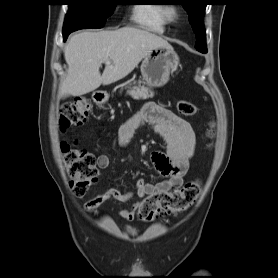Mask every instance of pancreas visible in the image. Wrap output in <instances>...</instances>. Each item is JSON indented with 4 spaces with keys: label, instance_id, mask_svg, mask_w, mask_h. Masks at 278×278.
Returning a JSON list of instances; mask_svg holds the SVG:
<instances>
[{
    "label": "pancreas",
    "instance_id": "pancreas-1",
    "mask_svg": "<svg viewBox=\"0 0 278 278\" xmlns=\"http://www.w3.org/2000/svg\"><path fill=\"white\" fill-rule=\"evenodd\" d=\"M141 83H143V85H141ZM133 84L134 86L132 87L131 84L128 86V88H130V90H128V94L134 99H147L154 96V92L145 87V82L139 81L137 85H135V82Z\"/></svg>",
    "mask_w": 278,
    "mask_h": 278
}]
</instances>
